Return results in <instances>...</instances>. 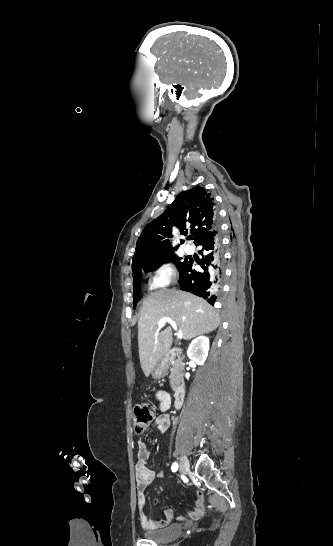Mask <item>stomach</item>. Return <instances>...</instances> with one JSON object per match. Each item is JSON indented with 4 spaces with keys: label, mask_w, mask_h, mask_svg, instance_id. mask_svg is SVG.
<instances>
[{
    "label": "stomach",
    "mask_w": 333,
    "mask_h": 546,
    "mask_svg": "<svg viewBox=\"0 0 333 546\" xmlns=\"http://www.w3.org/2000/svg\"><path fill=\"white\" fill-rule=\"evenodd\" d=\"M168 368H169L168 358L166 356H164L154 366V368L152 370V377L154 379L163 378L167 374Z\"/></svg>",
    "instance_id": "1"
}]
</instances>
